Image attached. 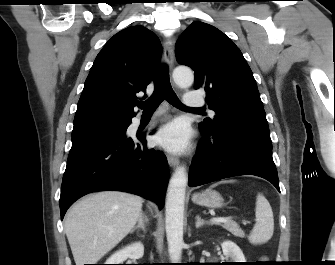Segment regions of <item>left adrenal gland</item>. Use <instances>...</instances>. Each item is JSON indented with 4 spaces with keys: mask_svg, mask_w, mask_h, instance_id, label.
<instances>
[{
    "mask_svg": "<svg viewBox=\"0 0 335 265\" xmlns=\"http://www.w3.org/2000/svg\"><path fill=\"white\" fill-rule=\"evenodd\" d=\"M204 224H212V223L201 219V217L199 215H197L196 216V225H195L196 228H200Z\"/></svg>",
    "mask_w": 335,
    "mask_h": 265,
    "instance_id": "left-adrenal-gland-1",
    "label": "left adrenal gland"
}]
</instances>
